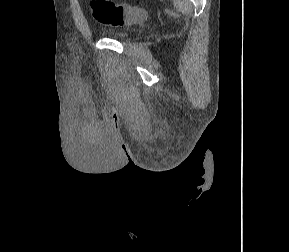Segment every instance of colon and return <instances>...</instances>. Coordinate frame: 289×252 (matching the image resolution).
<instances>
[{
	"mask_svg": "<svg viewBox=\"0 0 289 252\" xmlns=\"http://www.w3.org/2000/svg\"><path fill=\"white\" fill-rule=\"evenodd\" d=\"M90 11L94 19L108 26H124L147 19L143 9L110 0H91Z\"/></svg>",
	"mask_w": 289,
	"mask_h": 252,
	"instance_id": "colon-1",
	"label": "colon"
}]
</instances>
